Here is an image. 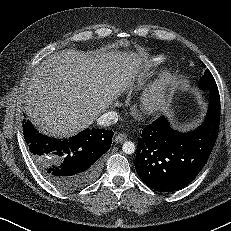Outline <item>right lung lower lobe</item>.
<instances>
[{"label": "right lung lower lobe", "mask_w": 231, "mask_h": 231, "mask_svg": "<svg viewBox=\"0 0 231 231\" xmlns=\"http://www.w3.org/2000/svg\"><path fill=\"white\" fill-rule=\"evenodd\" d=\"M23 133L41 174L66 192L81 189L99 176L113 136V131L93 128L60 140L39 133L30 121L23 123Z\"/></svg>", "instance_id": "1"}]
</instances>
